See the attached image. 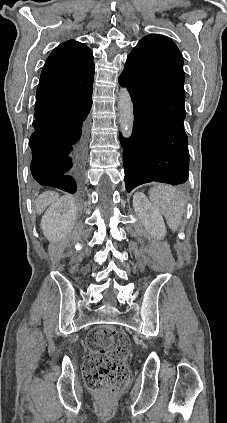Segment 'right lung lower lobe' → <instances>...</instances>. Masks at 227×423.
<instances>
[{"mask_svg":"<svg viewBox=\"0 0 227 423\" xmlns=\"http://www.w3.org/2000/svg\"><path fill=\"white\" fill-rule=\"evenodd\" d=\"M92 94L61 101L36 97L37 128L30 137L31 173L38 184L74 194L79 185L86 156V117Z\"/></svg>","mask_w":227,"mask_h":423,"instance_id":"1","label":"right lung lower lobe"}]
</instances>
